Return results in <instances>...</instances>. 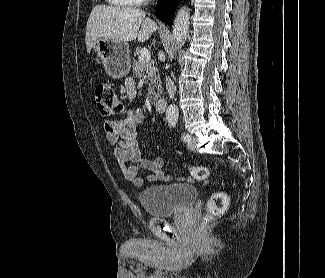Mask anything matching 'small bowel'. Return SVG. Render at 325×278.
<instances>
[{"label": "small bowel", "instance_id": "obj_1", "mask_svg": "<svg viewBox=\"0 0 325 278\" xmlns=\"http://www.w3.org/2000/svg\"><path fill=\"white\" fill-rule=\"evenodd\" d=\"M125 88L128 102L132 103L136 97L133 80H126ZM145 119L143 109L129 108L123 117L104 123L105 137L112 145V153L118 168L125 179L136 186H141L144 182L139 175L140 169L150 172L147 176L150 182L170 179L162 171L164 160L161 157L144 158L141 155L137 137Z\"/></svg>", "mask_w": 325, "mask_h": 278}]
</instances>
